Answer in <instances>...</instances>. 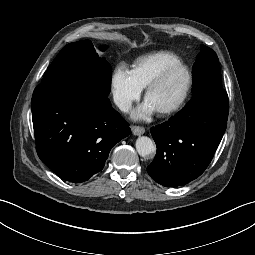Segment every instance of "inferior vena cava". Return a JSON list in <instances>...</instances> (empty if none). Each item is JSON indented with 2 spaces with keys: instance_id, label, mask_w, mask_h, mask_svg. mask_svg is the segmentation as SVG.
I'll list each match as a JSON object with an SVG mask.
<instances>
[{
  "instance_id": "obj_1",
  "label": "inferior vena cava",
  "mask_w": 255,
  "mask_h": 255,
  "mask_svg": "<svg viewBox=\"0 0 255 255\" xmlns=\"http://www.w3.org/2000/svg\"><path fill=\"white\" fill-rule=\"evenodd\" d=\"M113 99L121 111H128L130 109L131 101L121 94H114Z\"/></svg>"
}]
</instances>
